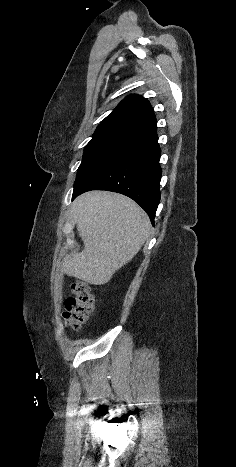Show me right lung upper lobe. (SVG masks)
<instances>
[{
  "instance_id": "1",
  "label": "right lung upper lobe",
  "mask_w": 236,
  "mask_h": 467,
  "mask_svg": "<svg viewBox=\"0 0 236 467\" xmlns=\"http://www.w3.org/2000/svg\"><path fill=\"white\" fill-rule=\"evenodd\" d=\"M116 127L143 134L156 128V118L149 101L129 95L99 124L98 128Z\"/></svg>"
}]
</instances>
